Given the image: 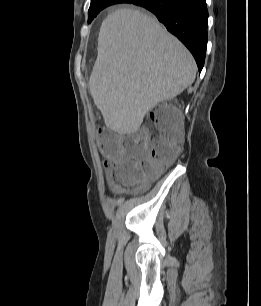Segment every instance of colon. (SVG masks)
<instances>
[{"mask_svg": "<svg viewBox=\"0 0 261 306\" xmlns=\"http://www.w3.org/2000/svg\"><path fill=\"white\" fill-rule=\"evenodd\" d=\"M152 122L157 130L153 142L146 128L137 130L123 140H119L115 134L101 137L100 147L110 159H126L113 169L118 182L146 184L177 156L182 141L183 121L180 114L170 106H158L153 111ZM131 161L137 162L139 166L131 165Z\"/></svg>", "mask_w": 261, "mask_h": 306, "instance_id": "colon-1", "label": "colon"}]
</instances>
